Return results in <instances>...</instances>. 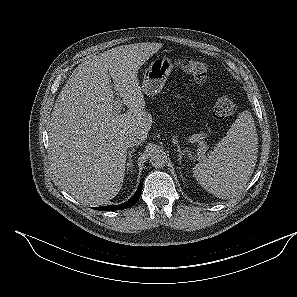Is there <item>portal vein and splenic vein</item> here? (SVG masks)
Returning <instances> with one entry per match:
<instances>
[{
    "mask_svg": "<svg viewBox=\"0 0 297 297\" xmlns=\"http://www.w3.org/2000/svg\"><path fill=\"white\" fill-rule=\"evenodd\" d=\"M121 109H122V101L121 99L118 97L115 99L114 101V110L117 112V113H120L121 112ZM191 143H193V141H190ZM207 151V146L204 145V144H200L198 150H197V154L200 158H204V154L205 152Z\"/></svg>",
    "mask_w": 297,
    "mask_h": 297,
    "instance_id": "portal-vein-and-splenic-vein-1",
    "label": "portal vein and splenic vein"
}]
</instances>
